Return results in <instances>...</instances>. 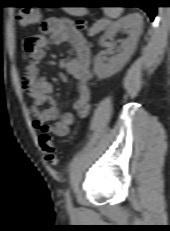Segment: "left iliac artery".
<instances>
[{
	"label": "left iliac artery",
	"instance_id": "44dca946",
	"mask_svg": "<svg viewBox=\"0 0 170 231\" xmlns=\"http://www.w3.org/2000/svg\"><path fill=\"white\" fill-rule=\"evenodd\" d=\"M65 198H66V202L69 206H71V196H70V191L69 189L66 190L65 192Z\"/></svg>",
	"mask_w": 170,
	"mask_h": 231
}]
</instances>
